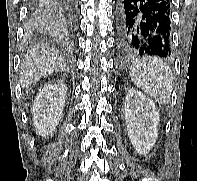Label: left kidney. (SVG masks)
<instances>
[{"label": "left kidney", "instance_id": "1", "mask_svg": "<svg viewBox=\"0 0 197 181\" xmlns=\"http://www.w3.org/2000/svg\"><path fill=\"white\" fill-rule=\"evenodd\" d=\"M129 139L137 153L146 155L156 143L160 116L152 100L129 89L124 103Z\"/></svg>", "mask_w": 197, "mask_h": 181}]
</instances>
